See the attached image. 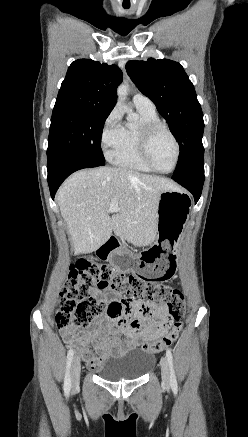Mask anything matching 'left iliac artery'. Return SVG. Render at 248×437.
Segmentation results:
<instances>
[{"instance_id": "44dca946", "label": "left iliac artery", "mask_w": 248, "mask_h": 437, "mask_svg": "<svg viewBox=\"0 0 248 437\" xmlns=\"http://www.w3.org/2000/svg\"><path fill=\"white\" fill-rule=\"evenodd\" d=\"M166 357H167V360L169 363V368H170V385H171V388L174 391H176L178 388V385H177V380H176V376H175V372H174V368H173V355H172L170 349H167Z\"/></svg>"}]
</instances>
